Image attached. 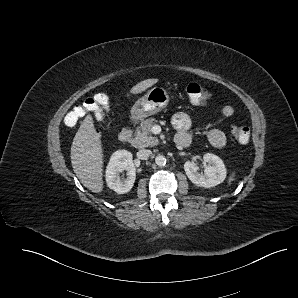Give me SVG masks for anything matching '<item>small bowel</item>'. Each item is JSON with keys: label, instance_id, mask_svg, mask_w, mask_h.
I'll return each instance as SVG.
<instances>
[{"label": "small bowel", "instance_id": "obj_1", "mask_svg": "<svg viewBox=\"0 0 298 298\" xmlns=\"http://www.w3.org/2000/svg\"><path fill=\"white\" fill-rule=\"evenodd\" d=\"M220 113L224 118H231L234 115V108L231 105H225L221 108ZM171 123L179 132L185 133L191 127L189 116L183 112L175 113L171 119ZM207 137L210 144L215 148H222L227 143L225 134L219 129H211Z\"/></svg>", "mask_w": 298, "mask_h": 298}]
</instances>
